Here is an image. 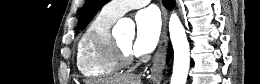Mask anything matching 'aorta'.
<instances>
[{"label": "aorta", "mask_w": 260, "mask_h": 84, "mask_svg": "<svg viewBox=\"0 0 260 84\" xmlns=\"http://www.w3.org/2000/svg\"><path fill=\"white\" fill-rule=\"evenodd\" d=\"M117 27L130 37H134L132 22L121 19L118 21ZM169 33L174 49V65L170 84H185L190 65L189 43L185 29L176 13H172L170 16Z\"/></svg>", "instance_id": "762f6f07"}]
</instances>
